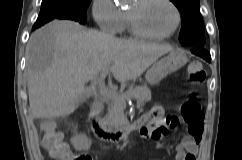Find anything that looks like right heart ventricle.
Returning <instances> with one entry per match:
<instances>
[{"label":"right heart ventricle","mask_w":242,"mask_h":160,"mask_svg":"<svg viewBox=\"0 0 242 160\" xmlns=\"http://www.w3.org/2000/svg\"><path fill=\"white\" fill-rule=\"evenodd\" d=\"M121 31H126V32H129V33H132L130 26H129V22H128V18H127L126 13H123V23H122Z\"/></svg>","instance_id":"e07e8e85"}]
</instances>
